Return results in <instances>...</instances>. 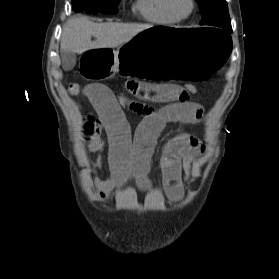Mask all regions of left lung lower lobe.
<instances>
[{
	"instance_id": "0a47b994",
	"label": "left lung lower lobe",
	"mask_w": 279,
	"mask_h": 279,
	"mask_svg": "<svg viewBox=\"0 0 279 279\" xmlns=\"http://www.w3.org/2000/svg\"><path fill=\"white\" fill-rule=\"evenodd\" d=\"M224 31L225 30H228V31H230V32H232V28H231V26L230 27H228L227 29H223Z\"/></svg>"
}]
</instances>
